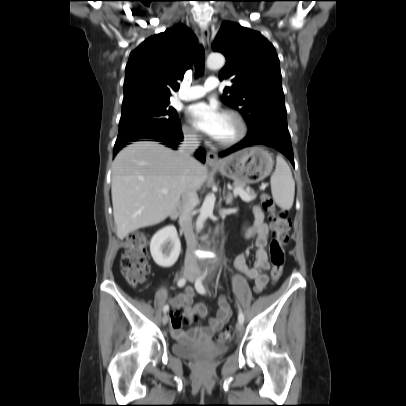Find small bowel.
<instances>
[{
    "instance_id": "c3829d8e",
    "label": "small bowel",
    "mask_w": 406,
    "mask_h": 406,
    "mask_svg": "<svg viewBox=\"0 0 406 406\" xmlns=\"http://www.w3.org/2000/svg\"><path fill=\"white\" fill-rule=\"evenodd\" d=\"M254 224L249 230L247 237L256 236L257 250L255 253V261L253 266L247 263L248 254L240 253L234 256L233 262L235 268L245 275L247 278L254 280V291L261 292L268 282L267 272L270 269V264L267 255V242L269 237V227L264 222V213L259 206L253 208ZM195 291L187 289L184 293L171 298L170 302L177 311H184L188 316L194 317L199 315L204 318L207 314V308L203 303H193ZM218 310L215 317L209 319V326L203 328L196 326L185 333L181 329V325L174 327L171 324L172 334L180 339L185 340L189 337H201L210 339L213 337L231 318L232 310L225 297H220L217 301ZM193 319L188 320L191 322Z\"/></svg>"
}]
</instances>
